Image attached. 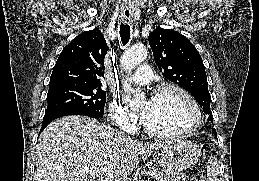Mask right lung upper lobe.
I'll return each mask as SVG.
<instances>
[{"instance_id": "obj_1", "label": "right lung upper lobe", "mask_w": 259, "mask_h": 181, "mask_svg": "<svg viewBox=\"0 0 259 181\" xmlns=\"http://www.w3.org/2000/svg\"><path fill=\"white\" fill-rule=\"evenodd\" d=\"M106 40L98 28L74 38L60 53L51 74L49 86L79 84L100 86L104 76Z\"/></svg>"}]
</instances>
